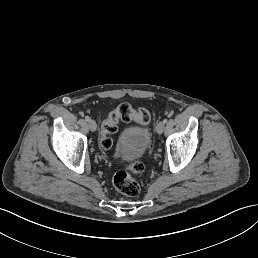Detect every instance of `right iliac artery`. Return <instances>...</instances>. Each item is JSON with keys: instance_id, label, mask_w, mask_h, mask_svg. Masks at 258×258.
Returning a JSON list of instances; mask_svg holds the SVG:
<instances>
[{"instance_id": "82829eb1", "label": "right iliac artery", "mask_w": 258, "mask_h": 258, "mask_svg": "<svg viewBox=\"0 0 258 258\" xmlns=\"http://www.w3.org/2000/svg\"><path fill=\"white\" fill-rule=\"evenodd\" d=\"M85 120L86 121H90V117L89 116H85Z\"/></svg>"}]
</instances>
